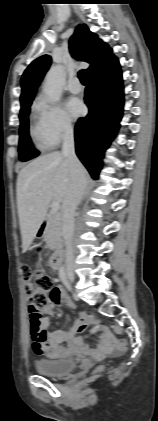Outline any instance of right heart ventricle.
<instances>
[{"label":"right heart ventricle","instance_id":"e07e8e85","mask_svg":"<svg viewBox=\"0 0 158 421\" xmlns=\"http://www.w3.org/2000/svg\"><path fill=\"white\" fill-rule=\"evenodd\" d=\"M29 133L34 145L39 150H49L55 145L47 137L40 113H38L37 110H35L32 115Z\"/></svg>","mask_w":158,"mask_h":421}]
</instances>
